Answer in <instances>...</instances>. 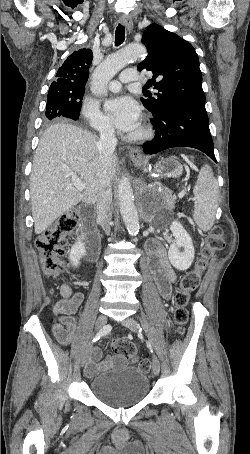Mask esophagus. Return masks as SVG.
I'll return each instance as SVG.
<instances>
[{
	"mask_svg": "<svg viewBox=\"0 0 250 454\" xmlns=\"http://www.w3.org/2000/svg\"><path fill=\"white\" fill-rule=\"evenodd\" d=\"M120 24L124 25L126 27V30L128 33L131 32L132 27H133V22L132 20L127 17V16H120L119 18ZM129 157L132 160H142V153L139 148H131L129 151Z\"/></svg>",
	"mask_w": 250,
	"mask_h": 454,
	"instance_id": "34e87169",
	"label": "esophagus"
}]
</instances>
